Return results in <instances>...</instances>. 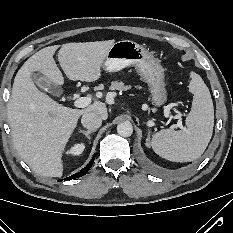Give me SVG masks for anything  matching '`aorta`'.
<instances>
[{
    "label": "aorta",
    "instance_id": "obj_1",
    "mask_svg": "<svg viewBox=\"0 0 233 233\" xmlns=\"http://www.w3.org/2000/svg\"><path fill=\"white\" fill-rule=\"evenodd\" d=\"M117 133L122 137H129L133 133V127L129 122L120 123L117 126Z\"/></svg>",
    "mask_w": 233,
    "mask_h": 233
}]
</instances>
